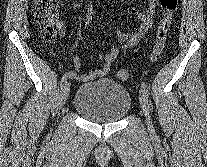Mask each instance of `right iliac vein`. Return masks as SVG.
Masks as SVG:
<instances>
[{"mask_svg": "<svg viewBox=\"0 0 207 167\" xmlns=\"http://www.w3.org/2000/svg\"><path fill=\"white\" fill-rule=\"evenodd\" d=\"M69 91H70V85L69 83H66L63 88L61 89V93H60V96H59V106L62 107L67 98H68V95H69Z\"/></svg>", "mask_w": 207, "mask_h": 167, "instance_id": "right-iliac-vein-1", "label": "right iliac vein"}]
</instances>
